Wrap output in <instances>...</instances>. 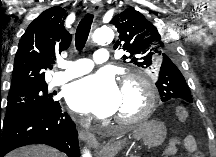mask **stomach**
I'll return each mask as SVG.
<instances>
[{
    "label": "stomach",
    "mask_w": 216,
    "mask_h": 157,
    "mask_svg": "<svg viewBox=\"0 0 216 157\" xmlns=\"http://www.w3.org/2000/svg\"><path fill=\"white\" fill-rule=\"evenodd\" d=\"M133 135L138 139H142L143 143L149 148L158 147L165 140L166 128L162 122L146 121L133 131Z\"/></svg>",
    "instance_id": "0dacf381"
}]
</instances>
